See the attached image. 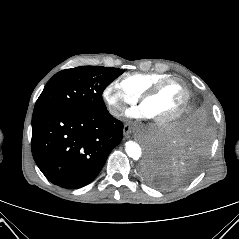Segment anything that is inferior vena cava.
<instances>
[{
    "instance_id": "1",
    "label": "inferior vena cava",
    "mask_w": 239,
    "mask_h": 239,
    "mask_svg": "<svg viewBox=\"0 0 239 239\" xmlns=\"http://www.w3.org/2000/svg\"><path fill=\"white\" fill-rule=\"evenodd\" d=\"M123 111H124L123 107H116V108L110 109V113L116 117L121 116L123 114Z\"/></svg>"
}]
</instances>
